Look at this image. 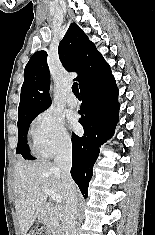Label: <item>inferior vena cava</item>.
<instances>
[{"instance_id":"obj_1","label":"inferior vena cava","mask_w":155,"mask_h":235,"mask_svg":"<svg viewBox=\"0 0 155 235\" xmlns=\"http://www.w3.org/2000/svg\"><path fill=\"white\" fill-rule=\"evenodd\" d=\"M54 163L61 171V180L65 190L63 221L65 235H77L78 198L77 187L70 174L72 166V144L70 140H65L60 144Z\"/></svg>"}]
</instances>
